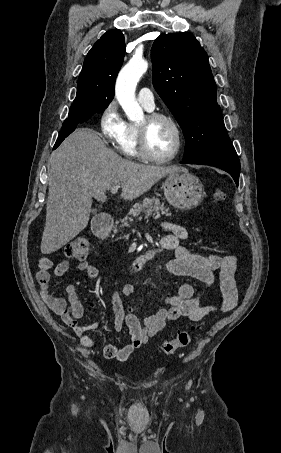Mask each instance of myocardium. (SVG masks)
I'll list each match as a JSON object with an SVG mask.
<instances>
[{
  "label": "myocardium",
  "instance_id": "f54148a6",
  "mask_svg": "<svg viewBox=\"0 0 281 453\" xmlns=\"http://www.w3.org/2000/svg\"><path fill=\"white\" fill-rule=\"evenodd\" d=\"M159 121H164L171 126L175 133V142L171 153L164 157L155 155L149 144V129ZM182 142V131L178 123L170 116L162 113H150L145 116L143 123L139 125V152L145 158L157 162L167 163L172 161L179 153Z\"/></svg>",
  "mask_w": 281,
  "mask_h": 453
}]
</instances>
